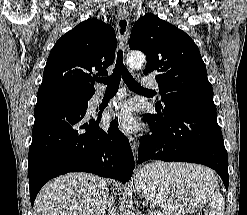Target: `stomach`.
<instances>
[{
  "label": "stomach",
  "instance_id": "obj_1",
  "mask_svg": "<svg viewBox=\"0 0 247 215\" xmlns=\"http://www.w3.org/2000/svg\"><path fill=\"white\" fill-rule=\"evenodd\" d=\"M202 168L204 170L191 164L154 162L139 171L136 187L142 196L172 215L193 213L216 187L215 176Z\"/></svg>",
  "mask_w": 247,
  "mask_h": 215
}]
</instances>
